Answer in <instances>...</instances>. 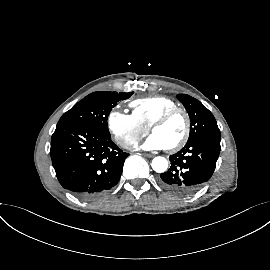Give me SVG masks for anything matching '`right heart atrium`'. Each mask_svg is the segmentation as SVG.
Segmentation results:
<instances>
[{"mask_svg": "<svg viewBox=\"0 0 270 270\" xmlns=\"http://www.w3.org/2000/svg\"><path fill=\"white\" fill-rule=\"evenodd\" d=\"M107 127L116 142L127 149L148 132V128L143 126L133 114L119 109H114L109 113Z\"/></svg>", "mask_w": 270, "mask_h": 270, "instance_id": "d8ad5b80", "label": "right heart atrium"}]
</instances>
